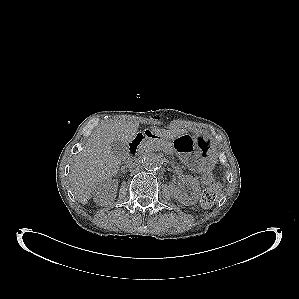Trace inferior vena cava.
<instances>
[{
    "label": "inferior vena cava",
    "instance_id": "602c4592",
    "mask_svg": "<svg viewBox=\"0 0 299 299\" xmlns=\"http://www.w3.org/2000/svg\"><path fill=\"white\" fill-rule=\"evenodd\" d=\"M137 165H138V161H136V160H130L127 162V167H130V168L135 167Z\"/></svg>",
    "mask_w": 299,
    "mask_h": 299
}]
</instances>
